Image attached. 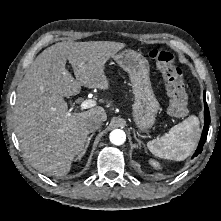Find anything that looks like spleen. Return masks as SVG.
Segmentation results:
<instances>
[{
  "mask_svg": "<svg viewBox=\"0 0 221 221\" xmlns=\"http://www.w3.org/2000/svg\"><path fill=\"white\" fill-rule=\"evenodd\" d=\"M200 136L199 120L192 115L173 126L160 138L149 141L152 154L168 160L182 161L194 150Z\"/></svg>",
  "mask_w": 221,
  "mask_h": 221,
  "instance_id": "3e777b00",
  "label": "spleen"
}]
</instances>
